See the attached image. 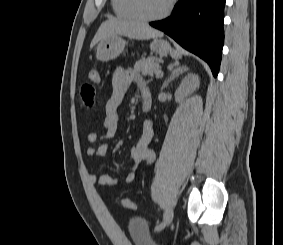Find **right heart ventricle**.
Masks as SVG:
<instances>
[{"instance_id": "1", "label": "right heart ventricle", "mask_w": 283, "mask_h": 245, "mask_svg": "<svg viewBox=\"0 0 283 245\" xmlns=\"http://www.w3.org/2000/svg\"><path fill=\"white\" fill-rule=\"evenodd\" d=\"M111 5L117 17L123 19L136 18L130 9L129 0H111Z\"/></svg>"}]
</instances>
